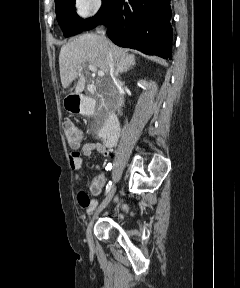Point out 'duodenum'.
<instances>
[{
	"label": "duodenum",
	"instance_id": "410a0bca",
	"mask_svg": "<svg viewBox=\"0 0 240 288\" xmlns=\"http://www.w3.org/2000/svg\"><path fill=\"white\" fill-rule=\"evenodd\" d=\"M74 102L77 106V112L82 114H90L95 110V101L91 98L83 96H75ZM120 134V126L117 117L113 113H109L106 118V125L102 132V141L106 146H113Z\"/></svg>",
	"mask_w": 240,
	"mask_h": 288
}]
</instances>
